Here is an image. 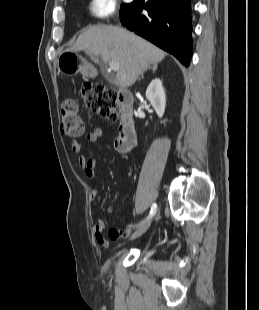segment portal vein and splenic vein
<instances>
[{
  "label": "portal vein and splenic vein",
  "instance_id": "1",
  "mask_svg": "<svg viewBox=\"0 0 259 310\" xmlns=\"http://www.w3.org/2000/svg\"><path fill=\"white\" fill-rule=\"evenodd\" d=\"M109 68L112 70V71H118L119 68H120V65L118 62H115V61H111L109 63Z\"/></svg>",
  "mask_w": 259,
  "mask_h": 310
}]
</instances>
